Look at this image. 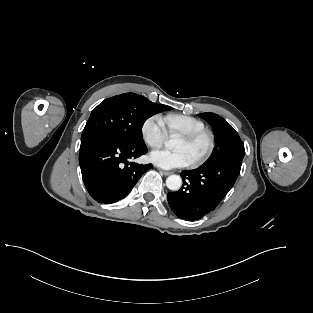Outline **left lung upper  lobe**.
<instances>
[{
	"mask_svg": "<svg viewBox=\"0 0 313 313\" xmlns=\"http://www.w3.org/2000/svg\"><path fill=\"white\" fill-rule=\"evenodd\" d=\"M207 120L215 134V148L204 164L228 158H241L245 155L244 144L238 133L225 119L214 113L198 114Z\"/></svg>",
	"mask_w": 313,
	"mask_h": 313,
	"instance_id": "obj_1",
	"label": "left lung upper lobe"
}]
</instances>
